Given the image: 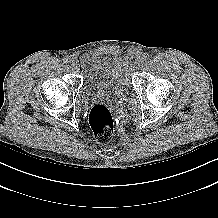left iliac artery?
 <instances>
[{"label": "left iliac artery", "instance_id": "left-iliac-artery-1", "mask_svg": "<svg viewBox=\"0 0 218 218\" xmlns=\"http://www.w3.org/2000/svg\"><path fill=\"white\" fill-rule=\"evenodd\" d=\"M149 54L148 53H144L143 55H142V59H143V61H147L148 59H149Z\"/></svg>", "mask_w": 218, "mask_h": 218}]
</instances>
